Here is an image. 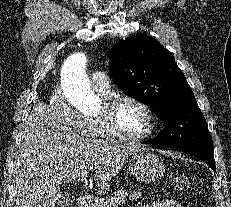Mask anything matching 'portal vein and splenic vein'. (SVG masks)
I'll use <instances>...</instances> for the list:
<instances>
[{
  "instance_id": "portal-vein-and-splenic-vein-1",
  "label": "portal vein and splenic vein",
  "mask_w": 231,
  "mask_h": 207,
  "mask_svg": "<svg viewBox=\"0 0 231 207\" xmlns=\"http://www.w3.org/2000/svg\"><path fill=\"white\" fill-rule=\"evenodd\" d=\"M87 174L83 176L82 180H86Z\"/></svg>"
}]
</instances>
